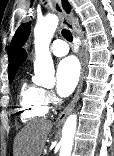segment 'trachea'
I'll use <instances>...</instances> for the list:
<instances>
[{"instance_id":"trachea-1","label":"trachea","mask_w":114,"mask_h":156,"mask_svg":"<svg viewBox=\"0 0 114 156\" xmlns=\"http://www.w3.org/2000/svg\"><path fill=\"white\" fill-rule=\"evenodd\" d=\"M62 35H63V37H64L66 40H68V41H70V42L73 40V37H72L71 32H70L69 30H67V29H62Z\"/></svg>"}]
</instances>
